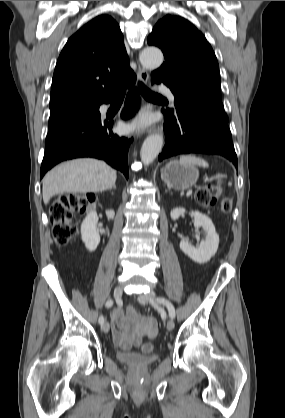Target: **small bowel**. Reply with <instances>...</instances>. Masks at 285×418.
<instances>
[{
    "label": "small bowel",
    "instance_id": "obj_1",
    "mask_svg": "<svg viewBox=\"0 0 285 418\" xmlns=\"http://www.w3.org/2000/svg\"><path fill=\"white\" fill-rule=\"evenodd\" d=\"M114 343L123 350L139 347L141 339L154 338L158 333L157 322L149 316H141L133 306L119 316L111 330Z\"/></svg>",
    "mask_w": 285,
    "mask_h": 418
}]
</instances>
